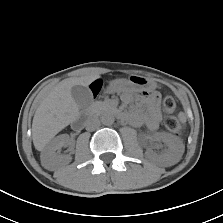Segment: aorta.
I'll return each instance as SVG.
<instances>
[{
    "label": "aorta",
    "instance_id": "1",
    "mask_svg": "<svg viewBox=\"0 0 223 223\" xmlns=\"http://www.w3.org/2000/svg\"><path fill=\"white\" fill-rule=\"evenodd\" d=\"M114 121H115V117L111 113H105L101 116V122H102V124H104L106 126L112 125L114 123Z\"/></svg>",
    "mask_w": 223,
    "mask_h": 223
}]
</instances>
